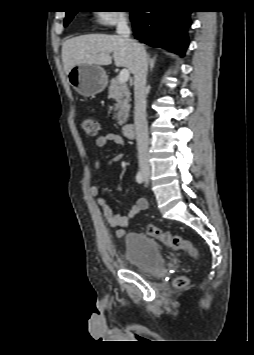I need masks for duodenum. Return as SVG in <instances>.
Returning a JSON list of instances; mask_svg holds the SVG:
<instances>
[{
    "label": "duodenum",
    "instance_id": "obj_1",
    "mask_svg": "<svg viewBox=\"0 0 254 355\" xmlns=\"http://www.w3.org/2000/svg\"><path fill=\"white\" fill-rule=\"evenodd\" d=\"M134 131H135V128H134L133 124L127 123L123 126V134L128 139H131L134 137Z\"/></svg>",
    "mask_w": 254,
    "mask_h": 355
}]
</instances>
